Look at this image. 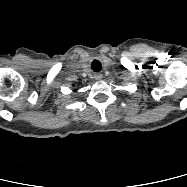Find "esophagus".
<instances>
[{"mask_svg": "<svg viewBox=\"0 0 187 187\" xmlns=\"http://www.w3.org/2000/svg\"><path fill=\"white\" fill-rule=\"evenodd\" d=\"M101 77H102V75H100V74L96 76L97 79H101Z\"/></svg>", "mask_w": 187, "mask_h": 187, "instance_id": "1", "label": "esophagus"}]
</instances>
